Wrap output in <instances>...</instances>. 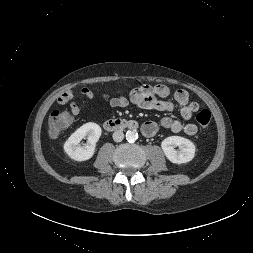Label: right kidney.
<instances>
[{
	"instance_id": "obj_1",
	"label": "right kidney",
	"mask_w": 253,
	"mask_h": 253,
	"mask_svg": "<svg viewBox=\"0 0 253 253\" xmlns=\"http://www.w3.org/2000/svg\"><path fill=\"white\" fill-rule=\"evenodd\" d=\"M101 127L93 122L86 123L78 128L65 142L64 151L75 161H86L92 158L95 152L96 142L101 136ZM88 137L86 144L81 146L79 143Z\"/></svg>"
}]
</instances>
